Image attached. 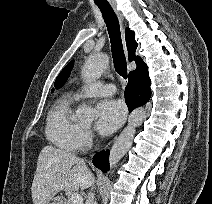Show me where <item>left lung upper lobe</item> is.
Here are the masks:
<instances>
[{"label":"left lung upper lobe","mask_w":212,"mask_h":204,"mask_svg":"<svg viewBox=\"0 0 212 204\" xmlns=\"http://www.w3.org/2000/svg\"><path fill=\"white\" fill-rule=\"evenodd\" d=\"M74 61H71L58 75L56 81L54 83V87L59 89L63 86V84L67 81L68 77L70 76ZM53 91V90H52Z\"/></svg>","instance_id":"left-lung-upper-lobe-1"}]
</instances>
